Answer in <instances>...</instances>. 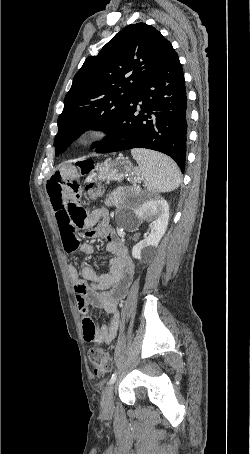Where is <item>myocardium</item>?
Returning a JSON list of instances; mask_svg holds the SVG:
<instances>
[{"label":"myocardium","mask_w":250,"mask_h":454,"mask_svg":"<svg viewBox=\"0 0 250 454\" xmlns=\"http://www.w3.org/2000/svg\"><path fill=\"white\" fill-rule=\"evenodd\" d=\"M107 133L99 126L88 127L83 130L79 135V141L82 143H90L102 140L106 137Z\"/></svg>","instance_id":"obj_1"}]
</instances>
